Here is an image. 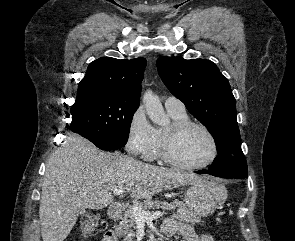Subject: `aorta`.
<instances>
[{"label": "aorta", "mask_w": 295, "mask_h": 241, "mask_svg": "<svg viewBox=\"0 0 295 241\" xmlns=\"http://www.w3.org/2000/svg\"><path fill=\"white\" fill-rule=\"evenodd\" d=\"M143 104L151 121L159 126H166L170 123L169 117L165 114L160 99L151 90L143 95Z\"/></svg>", "instance_id": "aorta-1"}]
</instances>
